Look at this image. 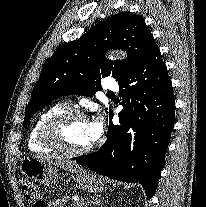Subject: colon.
Segmentation results:
<instances>
[{"label":"colon","instance_id":"5ec220e1","mask_svg":"<svg viewBox=\"0 0 206 207\" xmlns=\"http://www.w3.org/2000/svg\"><path fill=\"white\" fill-rule=\"evenodd\" d=\"M23 192L27 201L32 203V207H46L42 198L38 195L37 185L28 179L21 180Z\"/></svg>","mask_w":206,"mask_h":207}]
</instances>
